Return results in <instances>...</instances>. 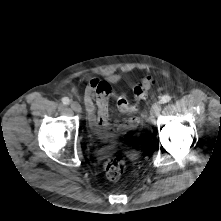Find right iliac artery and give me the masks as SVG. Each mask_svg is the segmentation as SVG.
Here are the masks:
<instances>
[{
  "label": "right iliac artery",
  "instance_id": "obj_1",
  "mask_svg": "<svg viewBox=\"0 0 221 221\" xmlns=\"http://www.w3.org/2000/svg\"><path fill=\"white\" fill-rule=\"evenodd\" d=\"M62 103L65 105H68V104H70V99L68 97H64V98H62Z\"/></svg>",
  "mask_w": 221,
  "mask_h": 221
}]
</instances>
